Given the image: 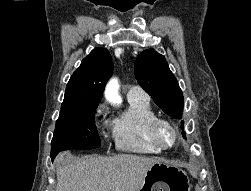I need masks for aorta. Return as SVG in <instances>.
Wrapping results in <instances>:
<instances>
[{"mask_svg": "<svg viewBox=\"0 0 251 191\" xmlns=\"http://www.w3.org/2000/svg\"><path fill=\"white\" fill-rule=\"evenodd\" d=\"M120 86L118 84L117 78H112L110 82H108L106 88H105V97L108 99V101H111V103H121L122 97L119 96V90Z\"/></svg>", "mask_w": 251, "mask_h": 191, "instance_id": "aorta-1", "label": "aorta"}]
</instances>
